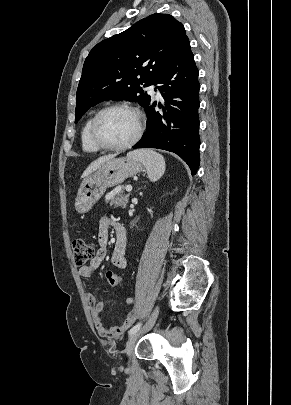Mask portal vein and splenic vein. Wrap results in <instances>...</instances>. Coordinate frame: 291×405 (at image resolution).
<instances>
[{
    "label": "portal vein and splenic vein",
    "mask_w": 291,
    "mask_h": 405,
    "mask_svg": "<svg viewBox=\"0 0 291 405\" xmlns=\"http://www.w3.org/2000/svg\"><path fill=\"white\" fill-rule=\"evenodd\" d=\"M126 191H127V192H131V191H132V186H131V185H127V186H126Z\"/></svg>",
    "instance_id": "18ae733b"
}]
</instances>
